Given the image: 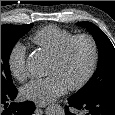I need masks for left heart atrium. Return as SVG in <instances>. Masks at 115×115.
<instances>
[{"mask_svg": "<svg viewBox=\"0 0 115 115\" xmlns=\"http://www.w3.org/2000/svg\"><path fill=\"white\" fill-rule=\"evenodd\" d=\"M67 89L66 84L56 75L34 79L21 89L24 99L37 103H48L62 95Z\"/></svg>", "mask_w": 115, "mask_h": 115, "instance_id": "obj_1", "label": "left heart atrium"}]
</instances>
